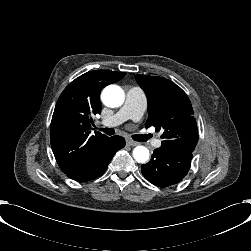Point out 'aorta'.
Wrapping results in <instances>:
<instances>
[{"mask_svg":"<svg viewBox=\"0 0 251 251\" xmlns=\"http://www.w3.org/2000/svg\"><path fill=\"white\" fill-rule=\"evenodd\" d=\"M101 98L103 103L109 107H120L125 101L123 90L117 85H109L102 91ZM133 158L138 163H145L149 160V150L142 145H138L133 149Z\"/></svg>","mask_w":251,"mask_h":251,"instance_id":"1","label":"aorta"}]
</instances>
